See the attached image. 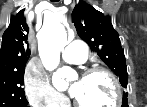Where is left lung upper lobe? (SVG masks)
Listing matches in <instances>:
<instances>
[{
    "label": "left lung upper lobe",
    "mask_w": 147,
    "mask_h": 107,
    "mask_svg": "<svg viewBox=\"0 0 147 107\" xmlns=\"http://www.w3.org/2000/svg\"><path fill=\"white\" fill-rule=\"evenodd\" d=\"M73 23L79 37L92 51L97 52L103 62L119 77L127 88V69L119 35L113 28L111 18L106 17L84 1H80L72 12ZM127 99L124 94L123 100Z\"/></svg>",
    "instance_id": "1"
}]
</instances>
